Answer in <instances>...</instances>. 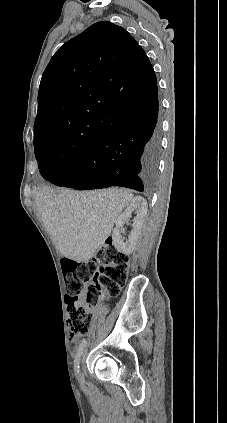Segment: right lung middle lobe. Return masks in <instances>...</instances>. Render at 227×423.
<instances>
[{
    "label": "right lung middle lobe",
    "instance_id": "dd1d6c3e",
    "mask_svg": "<svg viewBox=\"0 0 227 423\" xmlns=\"http://www.w3.org/2000/svg\"><path fill=\"white\" fill-rule=\"evenodd\" d=\"M35 156L38 166L49 164L66 170L69 165L85 157L89 148H73L58 139L47 138L34 141Z\"/></svg>",
    "mask_w": 227,
    "mask_h": 423
}]
</instances>
